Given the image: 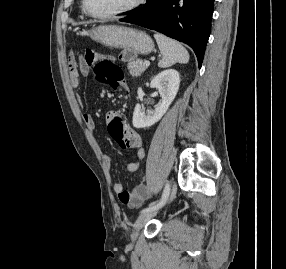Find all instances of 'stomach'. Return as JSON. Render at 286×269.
<instances>
[{
	"label": "stomach",
	"instance_id": "0dacf381",
	"mask_svg": "<svg viewBox=\"0 0 286 269\" xmlns=\"http://www.w3.org/2000/svg\"><path fill=\"white\" fill-rule=\"evenodd\" d=\"M89 35L110 48L135 49V55H147L154 50V42L145 32L129 27L102 25L92 29Z\"/></svg>",
	"mask_w": 286,
	"mask_h": 269
}]
</instances>
